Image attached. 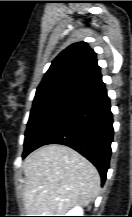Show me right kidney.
Masks as SVG:
<instances>
[{"label": "right kidney", "instance_id": "ca27d5eb", "mask_svg": "<svg viewBox=\"0 0 132 217\" xmlns=\"http://www.w3.org/2000/svg\"><path fill=\"white\" fill-rule=\"evenodd\" d=\"M66 216H83V210L80 207H75L66 214Z\"/></svg>", "mask_w": 132, "mask_h": 217}]
</instances>
